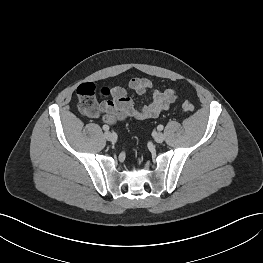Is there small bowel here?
<instances>
[{
  "instance_id": "1",
  "label": "small bowel",
  "mask_w": 263,
  "mask_h": 263,
  "mask_svg": "<svg viewBox=\"0 0 263 263\" xmlns=\"http://www.w3.org/2000/svg\"><path fill=\"white\" fill-rule=\"evenodd\" d=\"M128 88L138 95L150 93V101L142 106H136L126 88L114 86L111 89L112 99L97 104L95 109L87 115L92 118H101L107 123L126 119L142 121L158 117L176 101V94L172 89L156 88L147 78H131Z\"/></svg>"
}]
</instances>
